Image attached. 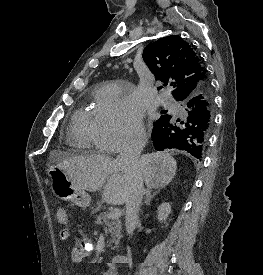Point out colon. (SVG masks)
<instances>
[{
  "label": "colon",
  "instance_id": "obj_1",
  "mask_svg": "<svg viewBox=\"0 0 263 275\" xmlns=\"http://www.w3.org/2000/svg\"><path fill=\"white\" fill-rule=\"evenodd\" d=\"M56 220L59 224L65 225L68 223V212L66 208L59 207L56 211Z\"/></svg>",
  "mask_w": 263,
  "mask_h": 275
}]
</instances>
